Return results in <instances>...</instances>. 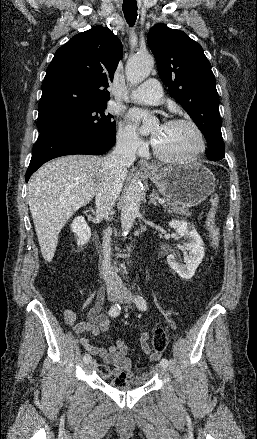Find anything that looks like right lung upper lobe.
<instances>
[{
    "instance_id": "cb5924a9",
    "label": "right lung upper lobe",
    "mask_w": 257,
    "mask_h": 439,
    "mask_svg": "<svg viewBox=\"0 0 257 439\" xmlns=\"http://www.w3.org/2000/svg\"><path fill=\"white\" fill-rule=\"evenodd\" d=\"M122 54L120 40L107 27L94 26L72 37L47 68L38 119L106 104Z\"/></svg>"
}]
</instances>
